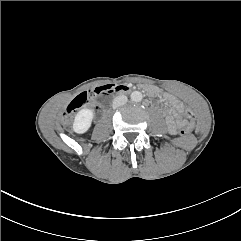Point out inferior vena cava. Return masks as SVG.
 <instances>
[{"label": "inferior vena cava", "instance_id": "1", "mask_svg": "<svg viewBox=\"0 0 241 241\" xmlns=\"http://www.w3.org/2000/svg\"><path fill=\"white\" fill-rule=\"evenodd\" d=\"M128 101L127 97L125 95H119L113 100V108H117L120 106H123Z\"/></svg>", "mask_w": 241, "mask_h": 241}]
</instances>
